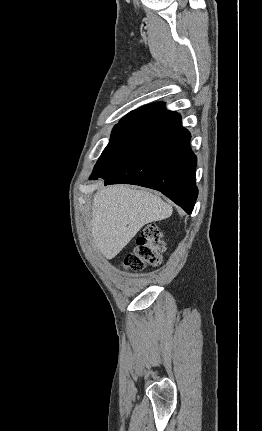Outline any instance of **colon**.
<instances>
[{
	"label": "colon",
	"mask_w": 262,
	"mask_h": 431,
	"mask_svg": "<svg viewBox=\"0 0 262 431\" xmlns=\"http://www.w3.org/2000/svg\"><path fill=\"white\" fill-rule=\"evenodd\" d=\"M164 250L165 242L161 230L157 225H148L136 238L133 251L124 257L122 267L127 270L140 271L147 265L158 266Z\"/></svg>",
	"instance_id": "obj_1"
}]
</instances>
